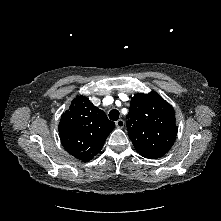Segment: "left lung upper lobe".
Returning <instances> with one entry per match:
<instances>
[{
	"label": "left lung upper lobe",
	"mask_w": 221,
	"mask_h": 221,
	"mask_svg": "<svg viewBox=\"0 0 221 221\" xmlns=\"http://www.w3.org/2000/svg\"><path fill=\"white\" fill-rule=\"evenodd\" d=\"M126 117L128 136L143 157H161L174 144L178 131L175 112L157 92L136 94Z\"/></svg>",
	"instance_id": "obj_1"
}]
</instances>
